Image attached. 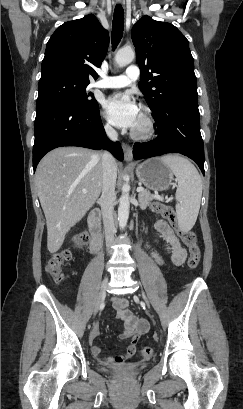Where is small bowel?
Listing matches in <instances>:
<instances>
[{
  "instance_id": "c3829d8e",
  "label": "small bowel",
  "mask_w": 243,
  "mask_h": 409,
  "mask_svg": "<svg viewBox=\"0 0 243 409\" xmlns=\"http://www.w3.org/2000/svg\"><path fill=\"white\" fill-rule=\"evenodd\" d=\"M156 229L167 243V250L171 255V260L174 264H181L186 258V251L180 246L174 231L169 224L160 219L156 223ZM152 256L159 264H163L164 261L161 256L153 251ZM113 307L116 313V317L122 321L123 327L119 333L121 340L130 339V343L126 349V352L117 357L107 358L102 356L100 348L94 344V340L99 335L100 328L96 325L89 336V344L91 354L103 363H116L122 364L128 359L133 357L136 353V346L140 339V336L147 331V322L144 319L135 317L128 309L129 301L124 298H116L113 301Z\"/></svg>"
}]
</instances>
